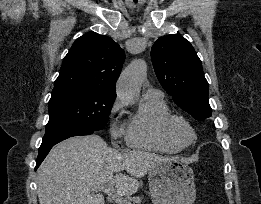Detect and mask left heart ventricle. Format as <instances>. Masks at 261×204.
Segmentation results:
<instances>
[{"label": "left heart ventricle", "instance_id": "1", "mask_svg": "<svg viewBox=\"0 0 261 204\" xmlns=\"http://www.w3.org/2000/svg\"><path fill=\"white\" fill-rule=\"evenodd\" d=\"M174 134L180 143L185 144L191 140L190 131L181 124H178L174 127Z\"/></svg>", "mask_w": 261, "mask_h": 204}]
</instances>
